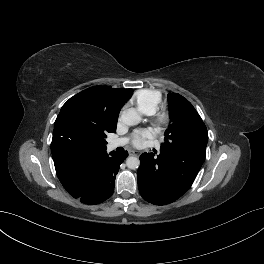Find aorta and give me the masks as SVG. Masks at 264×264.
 <instances>
[{
	"label": "aorta",
	"mask_w": 264,
	"mask_h": 264,
	"mask_svg": "<svg viewBox=\"0 0 264 264\" xmlns=\"http://www.w3.org/2000/svg\"><path fill=\"white\" fill-rule=\"evenodd\" d=\"M121 120L128 126L137 125L141 121V115L134 108L124 110L121 114ZM126 165L129 169H137L140 165V160L137 157L130 156L126 160Z\"/></svg>",
	"instance_id": "762f6f07"
}]
</instances>
